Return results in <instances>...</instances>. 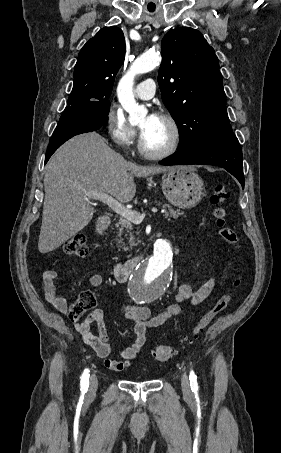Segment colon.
Masks as SVG:
<instances>
[{
    "label": "colon",
    "instance_id": "1",
    "mask_svg": "<svg viewBox=\"0 0 281 453\" xmlns=\"http://www.w3.org/2000/svg\"><path fill=\"white\" fill-rule=\"evenodd\" d=\"M229 194L230 187L227 184H218L213 189L210 202L215 207V228L218 235L225 244L236 248L238 246V236L229 226L225 211ZM59 250L66 257H84L88 253V246L84 239L72 238L63 242L59 246ZM240 284V273H236L228 290L203 311L187 336L188 340L201 336L212 321L229 307L232 297L240 287ZM152 355L156 363H168L173 357V349L170 346L159 347L153 350Z\"/></svg>",
    "mask_w": 281,
    "mask_h": 453
}]
</instances>
